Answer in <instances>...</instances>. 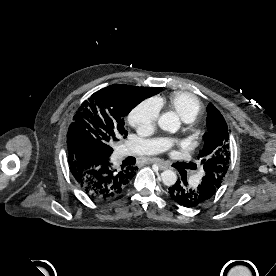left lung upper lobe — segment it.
<instances>
[{
	"instance_id": "obj_1",
	"label": "left lung upper lobe",
	"mask_w": 276,
	"mask_h": 276,
	"mask_svg": "<svg viewBox=\"0 0 276 276\" xmlns=\"http://www.w3.org/2000/svg\"><path fill=\"white\" fill-rule=\"evenodd\" d=\"M207 133L198 159L203 165V180L211 181L218 189L227 173L230 152L228 127L220 112L212 105L207 107Z\"/></svg>"
}]
</instances>
